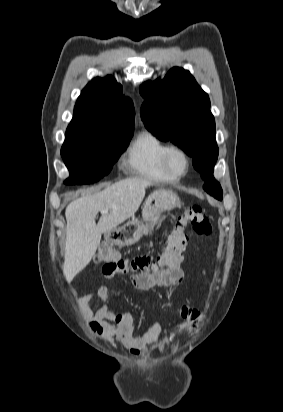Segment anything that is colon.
Returning <instances> with one entry per match:
<instances>
[{"label": "colon", "instance_id": "obj_1", "mask_svg": "<svg viewBox=\"0 0 283 412\" xmlns=\"http://www.w3.org/2000/svg\"><path fill=\"white\" fill-rule=\"evenodd\" d=\"M191 225L194 232L201 237L213 234L210 219L202 207L190 205L183 209L168 235L166 245L157 258L148 256L132 260L117 259L115 251L108 244H102L96 254V261L103 265L104 275H117L125 271H134L145 275L164 271L172 264L187 243L186 227ZM97 327L94 325V330Z\"/></svg>", "mask_w": 283, "mask_h": 412}]
</instances>
